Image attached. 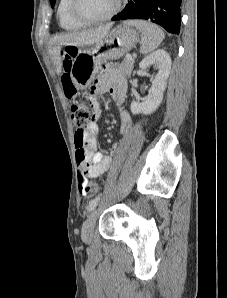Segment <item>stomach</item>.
Listing matches in <instances>:
<instances>
[{"label":"stomach","mask_w":227,"mask_h":298,"mask_svg":"<svg viewBox=\"0 0 227 298\" xmlns=\"http://www.w3.org/2000/svg\"><path fill=\"white\" fill-rule=\"evenodd\" d=\"M138 40V32L124 23L110 30L99 42L79 50L69 70L75 86L78 89L89 86L104 62L122 57Z\"/></svg>","instance_id":"0dacf381"}]
</instances>
